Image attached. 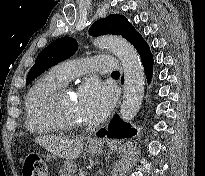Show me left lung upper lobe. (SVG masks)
<instances>
[{
	"mask_svg": "<svg viewBox=\"0 0 205 176\" xmlns=\"http://www.w3.org/2000/svg\"><path fill=\"white\" fill-rule=\"evenodd\" d=\"M134 27L123 15H109L104 19L97 20L89 29L92 36L105 34L121 35L123 38H129ZM77 50V42L70 37H62L53 41L44 48L36 58L35 64L27 75L26 83L43 73L50 67L72 56Z\"/></svg>",
	"mask_w": 205,
	"mask_h": 176,
	"instance_id": "5c2ea615",
	"label": "left lung upper lobe"
}]
</instances>
